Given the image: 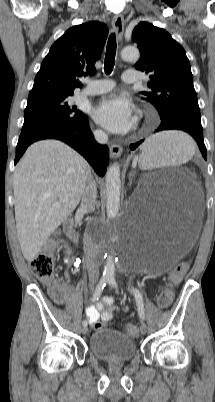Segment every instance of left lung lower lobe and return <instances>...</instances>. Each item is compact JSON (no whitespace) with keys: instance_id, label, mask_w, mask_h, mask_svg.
Here are the masks:
<instances>
[{"instance_id":"obj_1","label":"left lung lower lobe","mask_w":215,"mask_h":402,"mask_svg":"<svg viewBox=\"0 0 215 402\" xmlns=\"http://www.w3.org/2000/svg\"><path fill=\"white\" fill-rule=\"evenodd\" d=\"M171 129L183 130L189 133L197 142L204 159H207V150L204 144L201 122L194 121L183 116H170L164 119L161 118V123L155 132ZM143 141L144 140H140L134 144H131L130 149L134 150Z\"/></svg>"}]
</instances>
